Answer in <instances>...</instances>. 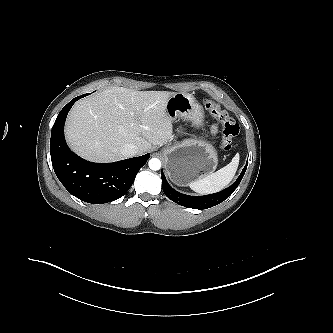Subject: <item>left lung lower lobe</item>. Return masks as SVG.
<instances>
[{
    "label": "left lung lower lobe",
    "mask_w": 333,
    "mask_h": 333,
    "mask_svg": "<svg viewBox=\"0 0 333 333\" xmlns=\"http://www.w3.org/2000/svg\"><path fill=\"white\" fill-rule=\"evenodd\" d=\"M247 164L248 161L245 167L243 168L241 174L237 178V180L231 186L214 194L205 195V196H189L179 193L168 184L164 176V173L162 172L163 191L169 199H171L172 201L176 202L179 205L192 209H207L223 202L235 191V189L238 187L245 174Z\"/></svg>",
    "instance_id": "1"
}]
</instances>
